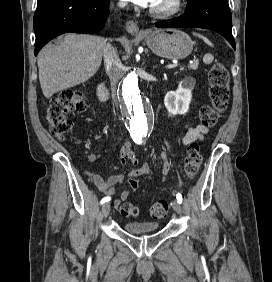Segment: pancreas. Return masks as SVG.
<instances>
[{
  "label": "pancreas",
  "mask_w": 272,
  "mask_h": 282,
  "mask_svg": "<svg viewBox=\"0 0 272 282\" xmlns=\"http://www.w3.org/2000/svg\"><path fill=\"white\" fill-rule=\"evenodd\" d=\"M198 65H199V62L198 61H194L192 64H190L188 66V69L196 70L198 68Z\"/></svg>",
  "instance_id": "cf45deb5"
}]
</instances>
